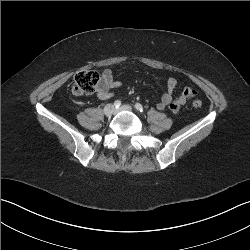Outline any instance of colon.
<instances>
[{
    "instance_id": "obj_1",
    "label": "colon",
    "mask_w": 250,
    "mask_h": 250,
    "mask_svg": "<svg viewBox=\"0 0 250 250\" xmlns=\"http://www.w3.org/2000/svg\"><path fill=\"white\" fill-rule=\"evenodd\" d=\"M99 84L100 76L96 71L83 70L75 75L72 92L77 95L91 94L96 91ZM192 104L195 108L202 107L199 99H194Z\"/></svg>"
}]
</instances>
